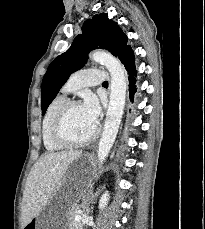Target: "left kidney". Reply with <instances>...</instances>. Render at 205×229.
<instances>
[{
  "instance_id": "left-kidney-1",
  "label": "left kidney",
  "mask_w": 205,
  "mask_h": 229,
  "mask_svg": "<svg viewBox=\"0 0 205 229\" xmlns=\"http://www.w3.org/2000/svg\"><path fill=\"white\" fill-rule=\"evenodd\" d=\"M109 200V194L108 191L104 192V194L101 196L99 200V209L103 210L105 206L107 205Z\"/></svg>"
}]
</instances>
